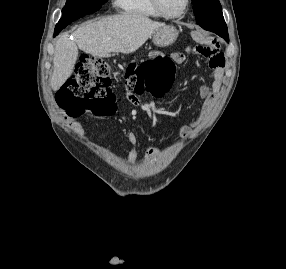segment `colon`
Here are the masks:
<instances>
[{"mask_svg":"<svg viewBox=\"0 0 286 269\" xmlns=\"http://www.w3.org/2000/svg\"><path fill=\"white\" fill-rule=\"evenodd\" d=\"M207 45L199 44L196 52ZM147 59L139 66H129L125 79L133 86V76L144 91L152 95L165 93L174 82L175 62L173 57L164 56L163 49H150ZM114 71L111 64L102 59L82 54L76 73L63 86L57 97L58 105L70 117H76L90 109L99 116H111L116 111L111 80Z\"/></svg>","mask_w":286,"mask_h":269,"instance_id":"1","label":"colon"}]
</instances>
